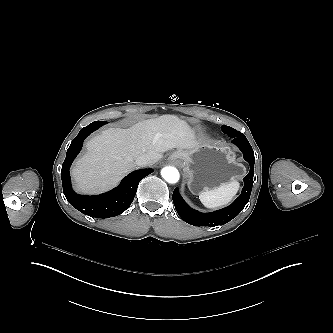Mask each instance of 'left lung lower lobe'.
<instances>
[{"label":"left lung lower lobe","instance_id":"obj_1","mask_svg":"<svg viewBox=\"0 0 333 333\" xmlns=\"http://www.w3.org/2000/svg\"><path fill=\"white\" fill-rule=\"evenodd\" d=\"M222 131L232 138L234 143L243 153L244 159L250 165L249 173L244 177V187L241 195L228 207L211 213H201L192 209L181 197L178 188L173 192V202L179 216L188 224L194 226L214 227L223 225L235 218L248 203L253 186L255 157L253 149L247 138L240 131L229 126H222Z\"/></svg>","mask_w":333,"mask_h":333}]
</instances>
